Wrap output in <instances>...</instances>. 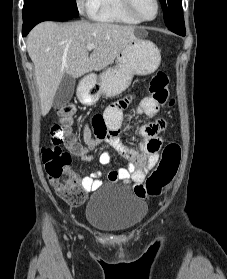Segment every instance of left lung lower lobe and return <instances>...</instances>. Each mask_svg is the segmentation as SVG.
Segmentation results:
<instances>
[{
  "instance_id": "1",
  "label": "left lung lower lobe",
  "mask_w": 227,
  "mask_h": 279,
  "mask_svg": "<svg viewBox=\"0 0 227 279\" xmlns=\"http://www.w3.org/2000/svg\"><path fill=\"white\" fill-rule=\"evenodd\" d=\"M168 29L181 36H185V34H186L185 29H181V30H176V29H171V28H168Z\"/></svg>"
}]
</instances>
